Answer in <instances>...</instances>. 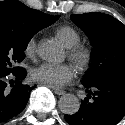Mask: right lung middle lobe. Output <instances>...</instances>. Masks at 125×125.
Wrapping results in <instances>:
<instances>
[{"label":"right lung middle lobe","mask_w":125,"mask_h":125,"mask_svg":"<svg viewBox=\"0 0 125 125\" xmlns=\"http://www.w3.org/2000/svg\"><path fill=\"white\" fill-rule=\"evenodd\" d=\"M58 16H51L48 25L53 24ZM33 35L12 32L0 27V69L14 71L24 58V51Z\"/></svg>","instance_id":"dd1d6c3e"}]
</instances>
